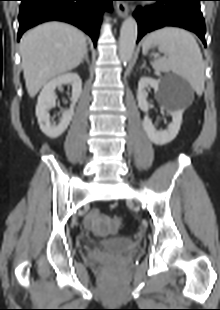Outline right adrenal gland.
<instances>
[{
	"instance_id": "2a0ac1e0",
	"label": "right adrenal gland",
	"mask_w": 220,
	"mask_h": 310,
	"mask_svg": "<svg viewBox=\"0 0 220 310\" xmlns=\"http://www.w3.org/2000/svg\"><path fill=\"white\" fill-rule=\"evenodd\" d=\"M84 61H86L88 64L90 63L89 56H88V51H86L85 56H84V58H83L81 63H83Z\"/></svg>"
}]
</instances>
